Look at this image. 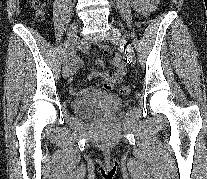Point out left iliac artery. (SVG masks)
Listing matches in <instances>:
<instances>
[{
  "instance_id": "1",
  "label": "left iliac artery",
  "mask_w": 207,
  "mask_h": 179,
  "mask_svg": "<svg viewBox=\"0 0 207 179\" xmlns=\"http://www.w3.org/2000/svg\"><path fill=\"white\" fill-rule=\"evenodd\" d=\"M122 39L125 41V45H127V50H130V45H128V37L122 36Z\"/></svg>"
}]
</instances>
